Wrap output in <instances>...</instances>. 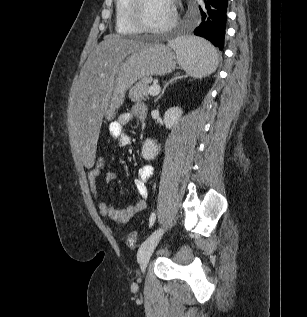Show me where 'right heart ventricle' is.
Segmentation results:
<instances>
[{"label": "right heart ventricle", "mask_w": 307, "mask_h": 317, "mask_svg": "<svg viewBox=\"0 0 307 317\" xmlns=\"http://www.w3.org/2000/svg\"><path fill=\"white\" fill-rule=\"evenodd\" d=\"M131 0H115V29L121 35H132L139 31L130 20Z\"/></svg>", "instance_id": "e07e8e85"}]
</instances>
